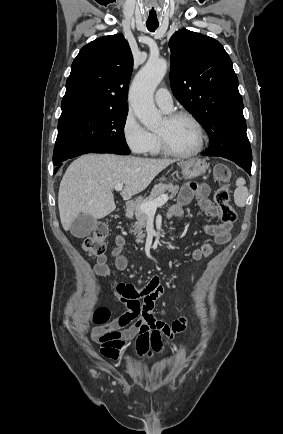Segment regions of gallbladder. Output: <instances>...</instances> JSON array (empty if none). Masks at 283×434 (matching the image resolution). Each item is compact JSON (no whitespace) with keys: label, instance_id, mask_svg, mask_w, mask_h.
Here are the masks:
<instances>
[{"label":"gallbladder","instance_id":"gallbladder-1","mask_svg":"<svg viewBox=\"0 0 283 434\" xmlns=\"http://www.w3.org/2000/svg\"><path fill=\"white\" fill-rule=\"evenodd\" d=\"M98 222L93 217L80 214L71 224L70 232L77 238H84L96 230Z\"/></svg>","mask_w":283,"mask_h":434}]
</instances>
